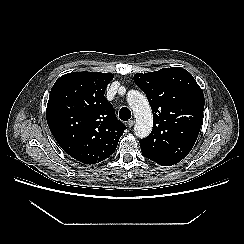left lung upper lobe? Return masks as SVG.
Instances as JSON below:
<instances>
[{"mask_svg": "<svg viewBox=\"0 0 244 244\" xmlns=\"http://www.w3.org/2000/svg\"><path fill=\"white\" fill-rule=\"evenodd\" d=\"M153 113L151 134L140 140L142 154L162 166L178 163L193 148L203 117L204 94L193 76L180 67L136 73Z\"/></svg>", "mask_w": 244, "mask_h": 244, "instance_id": "obj_1", "label": "left lung upper lobe"}]
</instances>
